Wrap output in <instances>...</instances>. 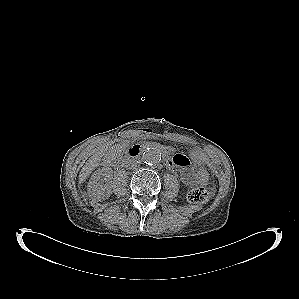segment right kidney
Segmentation results:
<instances>
[{
	"instance_id": "right-kidney-1",
	"label": "right kidney",
	"mask_w": 299,
	"mask_h": 299,
	"mask_svg": "<svg viewBox=\"0 0 299 299\" xmlns=\"http://www.w3.org/2000/svg\"><path fill=\"white\" fill-rule=\"evenodd\" d=\"M110 180L111 171L109 169L102 168L94 172L88 184L89 196L95 200H105L108 198L112 188Z\"/></svg>"
}]
</instances>
